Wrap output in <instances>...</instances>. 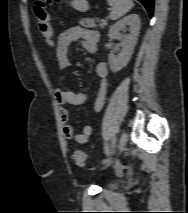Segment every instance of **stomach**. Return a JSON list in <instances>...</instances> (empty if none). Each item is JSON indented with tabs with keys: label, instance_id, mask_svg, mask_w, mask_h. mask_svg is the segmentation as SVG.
<instances>
[{
	"label": "stomach",
	"instance_id": "1",
	"mask_svg": "<svg viewBox=\"0 0 188 213\" xmlns=\"http://www.w3.org/2000/svg\"><path fill=\"white\" fill-rule=\"evenodd\" d=\"M70 5L81 12H85L89 9L87 0H71Z\"/></svg>",
	"mask_w": 188,
	"mask_h": 213
}]
</instances>
